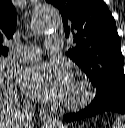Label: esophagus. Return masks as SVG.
Wrapping results in <instances>:
<instances>
[{"label": "esophagus", "mask_w": 125, "mask_h": 128, "mask_svg": "<svg viewBox=\"0 0 125 128\" xmlns=\"http://www.w3.org/2000/svg\"><path fill=\"white\" fill-rule=\"evenodd\" d=\"M39 115H40V119L42 121H46V120L51 119V114L46 110H40Z\"/></svg>", "instance_id": "1"}]
</instances>
